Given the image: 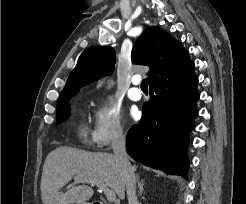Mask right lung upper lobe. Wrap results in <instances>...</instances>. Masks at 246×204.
<instances>
[{"mask_svg": "<svg viewBox=\"0 0 246 204\" xmlns=\"http://www.w3.org/2000/svg\"><path fill=\"white\" fill-rule=\"evenodd\" d=\"M131 59L135 64L150 67L149 83L192 64L180 42L157 26L144 30L132 49ZM114 64L115 52L111 47L94 46L86 49L70 73L59 99L74 96L82 86L111 74Z\"/></svg>", "mask_w": 246, "mask_h": 204, "instance_id": "1", "label": "right lung upper lobe"}]
</instances>
